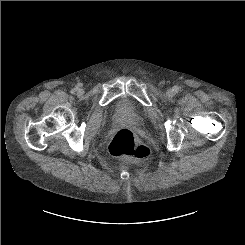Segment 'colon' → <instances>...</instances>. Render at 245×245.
<instances>
[{
  "label": "colon",
  "mask_w": 245,
  "mask_h": 245,
  "mask_svg": "<svg viewBox=\"0 0 245 245\" xmlns=\"http://www.w3.org/2000/svg\"><path fill=\"white\" fill-rule=\"evenodd\" d=\"M109 152L116 157L144 160L150 155L147 146L140 143L133 132L127 128L120 129L109 144Z\"/></svg>",
  "instance_id": "5ec220e1"
}]
</instances>
